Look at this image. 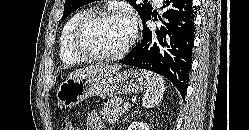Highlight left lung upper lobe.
Wrapping results in <instances>:
<instances>
[{
	"label": "left lung upper lobe",
	"mask_w": 249,
	"mask_h": 130,
	"mask_svg": "<svg viewBox=\"0 0 249 130\" xmlns=\"http://www.w3.org/2000/svg\"><path fill=\"white\" fill-rule=\"evenodd\" d=\"M93 1L94 0H66L64 4V14L62 19H65L73 11L80 8L81 6ZM127 1L137 10L142 21L152 12V5L150 3H147V1H144L140 4H137L136 0Z\"/></svg>",
	"instance_id": "obj_1"
}]
</instances>
